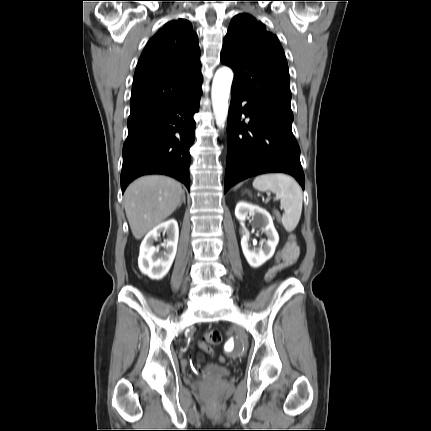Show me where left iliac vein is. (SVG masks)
Wrapping results in <instances>:
<instances>
[{"instance_id": "1", "label": "left iliac vein", "mask_w": 431, "mask_h": 431, "mask_svg": "<svg viewBox=\"0 0 431 431\" xmlns=\"http://www.w3.org/2000/svg\"><path fill=\"white\" fill-rule=\"evenodd\" d=\"M238 334H239V335H240V337L243 339L244 346L246 347V338H245L244 333H243V332H241V331H238Z\"/></svg>"}]
</instances>
